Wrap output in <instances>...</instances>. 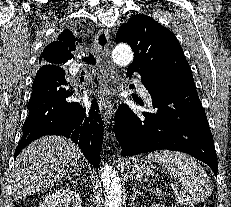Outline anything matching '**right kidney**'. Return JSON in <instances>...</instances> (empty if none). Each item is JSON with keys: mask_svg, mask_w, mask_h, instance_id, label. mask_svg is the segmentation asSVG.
I'll return each mask as SVG.
<instances>
[{"mask_svg": "<svg viewBox=\"0 0 231 207\" xmlns=\"http://www.w3.org/2000/svg\"><path fill=\"white\" fill-rule=\"evenodd\" d=\"M82 207V200L75 190L67 187L49 193L39 207Z\"/></svg>", "mask_w": 231, "mask_h": 207, "instance_id": "ca27d5eb", "label": "right kidney"}]
</instances>
